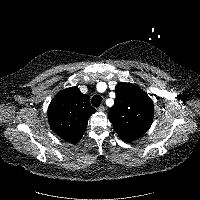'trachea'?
<instances>
[{
	"label": "trachea",
	"mask_w": 200,
	"mask_h": 200,
	"mask_svg": "<svg viewBox=\"0 0 200 200\" xmlns=\"http://www.w3.org/2000/svg\"><path fill=\"white\" fill-rule=\"evenodd\" d=\"M102 102V97L100 95H95L92 97L91 103L94 107H99Z\"/></svg>",
	"instance_id": "1"
}]
</instances>
